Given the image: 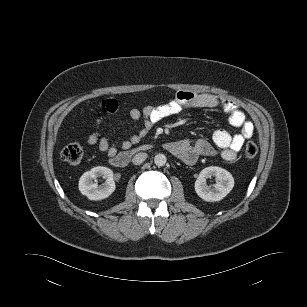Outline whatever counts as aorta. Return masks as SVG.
<instances>
[{
  "instance_id": "obj_1",
  "label": "aorta",
  "mask_w": 307,
  "mask_h": 307,
  "mask_svg": "<svg viewBox=\"0 0 307 307\" xmlns=\"http://www.w3.org/2000/svg\"><path fill=\"white\" fill-rule=\"evenodd\" d=\"M167 162V158L164 154H157L155 155L154 157V163L158 166V167H161V166H164Z\"/></svg>"
}]
</instances>
